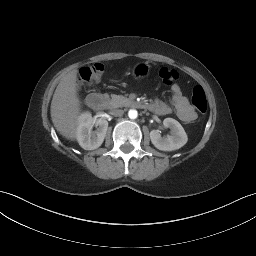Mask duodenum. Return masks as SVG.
Wrapping results in <instances>:
<instances>
[{
  "label": "duodenum",
  "instance_id": "1",
  "mask_svg": "<svg viewBox=\"0 0 256 256\" xmlns=\"http://www.w3.org/2000/svg\"><path fill=\"white\" fill-rule=\"evenodd\" d=\"M106 101H107L106 98L103 95L98 94V93H91L87 97V103H88L89 107L95 111L102 110L106 105ZM132 105L137 108H148L149 109L148 104H146L144 102H140V101H134L132 103Z\"/></svg>",
  "mask_w": 256,
  "mask_h": 256
}]
</instances>
